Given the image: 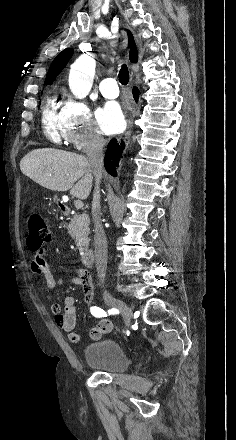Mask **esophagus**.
Returning a JSON list of instances; mask_svg holds the SVG:
<instances>
[{"label":"esophagus","instance_id":"1","mask_svg":"<svg viewBox=\"0 0 236 440\" xmlns=\"http://www.w3.org/2000/svg\"><path fill=\"white\" fill-rule=\"evenodd\" d=\"M127 122H128V127H129V126H130V124H131V121H130V119H128V121H127Z\"/></svg>","mask_w":236,"mask_h":440}]
</instances>
